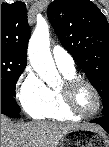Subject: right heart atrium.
<instances>
[{
	"label": "right heart atrium",
	"mask_w": 109,
	"mask_h": 147,
	"mask_svg": "<svg viewBox=\"0 0 109 147\" xmlns=\"http://www.w3.org/2000/svg\"><path fill=\"white\" fill-rule=\"evenodd\" d=\"M16 98L28 113L47 105L51 94L41 78L30 67H27L17 81Z\"/></svg>",
	"instance_id": "right-heart-atrium-1"
}]
</instances>
